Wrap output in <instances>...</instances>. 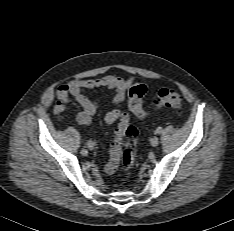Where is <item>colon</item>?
<instances>
[{"instance_id": "colon-1", "label": "colon", "mask_w": 234, "mask_h": 231, "mask_svg": "<svg viewBox=\"0 0 234 231\" xmlns=\"http://www.w3.org/2000/svg\"><path fill=\"white\" fill-rule=\"evenodd\" d=\"M146 92L147 88L144 84H136L130 88L128 93L129 109L139 119H145L149 115L143 107ZM181 105V95L168 88L160 89L153 100L155 109H178ZM136 138V128L126 121L121 122L115 131L114 140L110 148V156L116 167L120 166L121 170L125 173L131 171L137 157Z\"/></svg>"}]
</instances>
